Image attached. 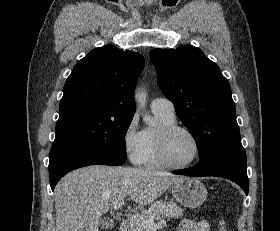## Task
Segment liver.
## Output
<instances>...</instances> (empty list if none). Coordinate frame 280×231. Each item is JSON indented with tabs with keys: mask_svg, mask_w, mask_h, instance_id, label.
Instances as JSON below:
<instances>
[{
	"mask_svg": "<svg viewBox=\"0 0 280 231\" xmlns=\"http://www.w3.org/2000/svg\"><path fill=\"white\" fill-rule=\"evenodd\" d=\"M180 175L139 167L88 165L67 173L55 187V231H99L101 215L129 195L136 209L160 197Z\"/></svg>",
	"mask_w": 280,
	"mask_h": 231,
	"instance_id": "obj_1",
	"label": "liver"
}]
</instances>
